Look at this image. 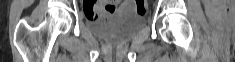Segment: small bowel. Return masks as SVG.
Here are the masks:
<instances>
[{
	"label": "small bowel",
	"instance_id": "1",
	"mask_svg": "<svg viewBox=\"0 0 235 62\" xmlns=\"http://www.w3.org/2000/svg\"><path fill=\"white\" fill-rule=\"evenodd\" d=\"M92 5H95V3H87L85 5V8H88ZM103 5L106 7L108 14H111V13L115 12V10L117 9L118 1L103 2ZM123 5L124 6H131L132 3L125 2ZM92 19H95V18H92Z\"/></svg>",
	"mask_w": 235,
	"mask_h": 62
}]
</instances>
